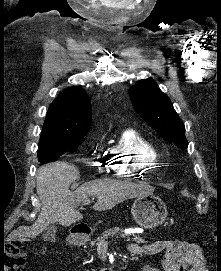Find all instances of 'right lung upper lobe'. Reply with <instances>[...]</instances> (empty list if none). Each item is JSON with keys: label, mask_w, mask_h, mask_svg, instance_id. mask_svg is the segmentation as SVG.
Listing matches in <instances>:
<instances>
[{"label": "right lung upper lobe", "mask_w": 221, "mask_h": 271, "mask_svg": "<svg viewBox=\"0 0 221 271\" xmlns=\"http://www.w3.org/2000/svg\"><path fill=\"white\" fill-rule=\"evenodd\" d=\"M91 121V101L84 89L75 86L64 90L50 105L41 135L84 136Z\"/></svg>", "instance_id": "cb5924a9"}]
</instances>
